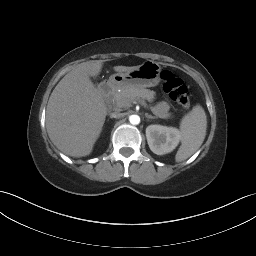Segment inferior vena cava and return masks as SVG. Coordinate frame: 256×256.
Masks as SVG:
<instances>
[{
    "mask_svg": "<svg viewBox=\"0 0 256 256\" xmlns=\"http://www.w3.org/2000/svg\"><path fill=\"white\" fill-rule=\"evenodd\" d=\"M122 116V113H120V110H115L114 112L110 113L111 118H120Z\"/></svg>",
    "mask_w": 256,
    "mask_h": 256,
    "instance_id": "1",
    "label": "inferior vena cava"
}]
</instances>
